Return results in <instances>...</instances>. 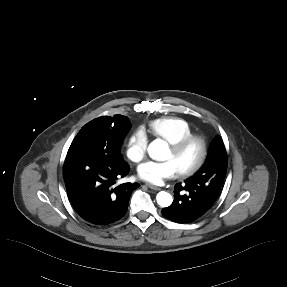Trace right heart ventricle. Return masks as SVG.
Listing matches in <instances>:
<instances>
[{
	"label": "right heart ventricle",
	"instance_id": "right-heart-ventricle-1",
	"mask_svg": "<svg viewBox=\"0 0 287 287\" xmlns=\"http://www.w3.org/2000/svg\"><path fill=\"white\" fill-rule=\"evenodd\" d=\"M148 129L154 136L163 139L169 145L194 134V130L184 118L166 116L154 119L148 123Z\"/></svg>",
	"mask_w": 287,
	"mask_h": 287
}]
</instances>
